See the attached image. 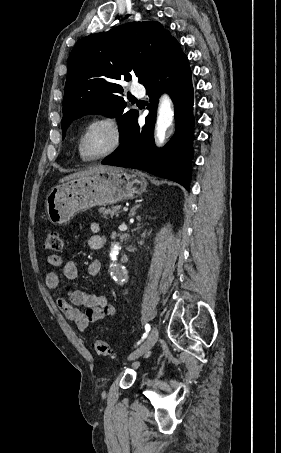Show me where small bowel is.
Listing matches in <instances>:
<instances>
[{"label":"small bowel","mask_w":281,"mask_h":453,"mask_svg":"<svg viewBox=\"0 0 281 453\" xmlns=\"http://www.w3.org/2000/svg\"><path fill=\"white\" fill-rule=\"evenodd\" d=\"M89 231L94 235L99 234L101 225L93 222L89 226ZM102 243V238L95 236L89 240V247L95 252H100L103 248ZM47 262L54 268L45 275V282L49 289H60V275L56 270L60 266L66 279L74 280L79 277V269L74 260L63 261L59 255H50ZM101 271L102 264L100 261H90L87 264V275L96 277ZM55 303L65 317L82 331L93 322L116 315L115 307L110 305L104 296L89 294L84 290L70 289L66 292L65 298H57Z\"/></svg>","instance_id":"obj_1"}]
</instances>
